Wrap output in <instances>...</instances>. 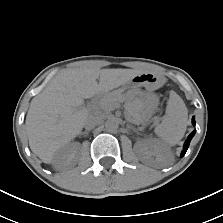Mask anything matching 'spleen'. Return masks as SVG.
<instances>
[{
    "label": "spleen",
    "mask_w": 223,
    "mask_h": 223,
    "mask_svg": "<svg viewBox=\"0 0 223 223\" xmlns=\"http://www.w3.org/2000/svg\"><path fill=\"white\" fill-rule=\"evenodd\" d=\"M167 116L170 123L171 134L174 135L175 141L178 142L186 130L187 108L180 96L173 91L170 93L167 105Z\"/></svg>",
    "instance_id": "3e777b00"
}]
</instances>
